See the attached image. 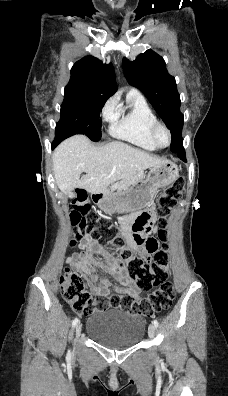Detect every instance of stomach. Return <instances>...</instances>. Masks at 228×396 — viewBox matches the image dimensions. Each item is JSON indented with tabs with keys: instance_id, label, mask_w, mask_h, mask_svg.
Wrapping results in <instances>:
<instances>
[{
	"instance_id": "obj_1",
	"label": "stomach",
	"mask_w": 228,
	"mask_h": 396,
	"mask_svg": "<svg viewBox=\"0 0 228 396\" xmlns=\"http://www.w3.org/2000/svg\"><path fill=\"white\" fill-rule=\"evenodd\" d=\"M179 175L178 167L171 162L150 168L145 177L127 190L116 193L94 194L98 207L106 213L132 212L148 207L156 191L174 182Z\"/></svg>"
}]
</instances>
